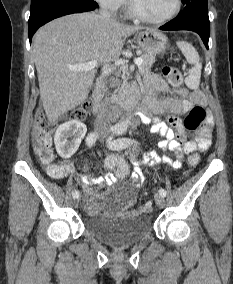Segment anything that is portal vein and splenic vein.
<instances>
[{"instance_id": "portal-vein-and-splenic-vein-1", "label": "portal vein and splenic vein", "mask_w": 233, "mask_h": 284, "mask_svg": "<svg viewBox=\"0 0 233 284\" xmlns=\"http://www.w3.org/2000/svg\"><path fill=\"white\" fill-rule=\"evenodd\" d=\"M143 62L142 58L141 57H138L134 60V63L136 65H140L141 63ZM125 63V60H117L115 61V64L116 65H123ZM98 65V62L95 61V60H92V61H89V62H86V63H82V64H78V65H70L68 66V68L71 70V71H84V72H88V71H91L93 70L95 67H97Z\"/></svg>"}]
</instances>
